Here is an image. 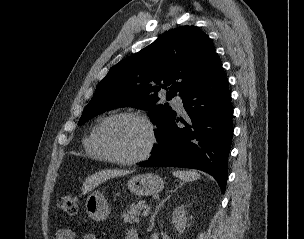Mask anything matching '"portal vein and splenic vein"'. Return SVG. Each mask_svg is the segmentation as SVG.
I'll return each instance as SVG.
<instances>
[{"instance_id": "obj_1", "label": "portal vein and splenic vein", "mask_w": 304, "mask_h": 239, "mask_svg": "<svg viewBox=\"0 0 304 239\" xmlns=\"http://www.w3.org/2000/svg\"><path fill=\"white\" fill-rule=\"evenodd\" d=\"M150 212V208H146L143 213H142V216H147Z\"/></svg>"}]
</instances>
